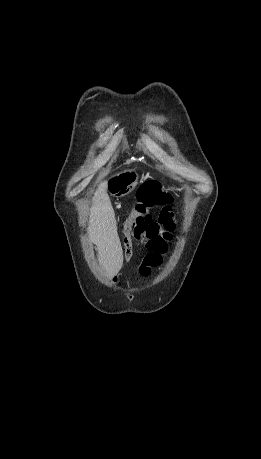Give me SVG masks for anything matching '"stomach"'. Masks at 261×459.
Returning <instances> with one entry per match:
<instances>
[{
	"label": "stomach",
	"instance_id": "stomach-1",
	"mask_svg": "<svg viewBox=\"0 0 261 459\" xmlns=\"http://www.w3.org/2000/svg\"><path fill=\"white\" fill-rule=\"evenodd\" d=\"M138 184V174L134 169H127L111 176L107 182V192L116 198L128 195Z\"/></svg>",
	"mask_w": 261,
	"mask_h": 459
}]
</instances>
